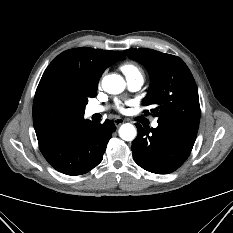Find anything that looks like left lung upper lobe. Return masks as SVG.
I'll use <instances>...</instances> for the list:
<instances>
[{
    "mask_svg": "<svg viewBox=\"0 0 233 233\" xmlns=\"http://www.w3.org/2000/svg\"><path fill=\"white\" fill-rule=\"evenodd\" d=\"M124 53L149 71L151 85L143 105H155L158 123L199 124L200 105L195 80L182 59L152 49H128Z\"/></svg>",
    "mask_w": 233,
    "mask_h": 233,
    "instance_id": "5c2ea615",
    "label": "left lung upper lobe"
}]
</instances>
